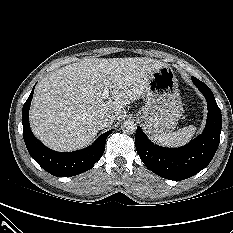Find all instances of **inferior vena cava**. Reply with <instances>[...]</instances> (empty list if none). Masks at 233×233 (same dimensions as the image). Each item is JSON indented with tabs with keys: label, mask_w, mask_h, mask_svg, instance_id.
Listing matches in <instances>:
<instances>
[{
	"label": "inferior vena cava",
	"mask_w": 233,
	"mask_h": 233,
	"mask_svg": "<svg viewBox=\"0 0 233 233\" xmlns=\"http://www.w3.org/2000/svg\"><path fill=\"white\" fill-rule=\"evenodd\" d=\"M114 121V117L111 115H100L96 118L95 123L99 129L110 126Z\"/></svg>",
	"instance_id": "inferior-vena-cava-1"
}]
</instances>
